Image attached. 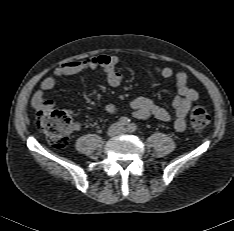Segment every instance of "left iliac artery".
Returning a JSON list of instances; mask_svg holds the SVG:
<instances>
[{"mask_svg": "<svg viewBox=\"0 0 234 231\" xmlns=\"http://www.w3.org/2000/svg\"><path fill=\"white\" fill-rule=\"evenodd\" d=\"M127 129L129 132H134V131H136L137 126L134 123H131L128 125Z\"/></svg>", "mask_w": 234, "mask_h": 231, "instance_id": "obj_1", "label": "left iliac artery"}]
</instances>
